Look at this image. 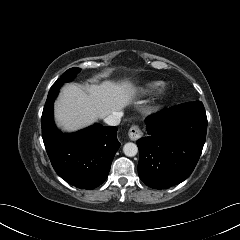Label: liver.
Listing matches in <instances>:
<instances>
[{"instance_id": "1", "label": "liver", "mask_w": 240, "mask_h": 240, "mask_svg": "<svg viewBox=\"0 0 240 240\" xmlns=\"http://www.w3.org/2000/svg\"><path fill=\"white\" fill-rule=\"evenodd\" d=\"M136 93V87L127 80L104 81L85 89L67 84L55 103V120L62 130L77 131L114 112L122 113L133 102Z\"/></svg>"}]
</instances>
